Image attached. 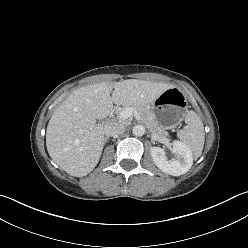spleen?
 <instances>
[{
	"instance_id": "obj_1",
	"label": "spleen",
	"mask_w": 248,
	"mask_h": 248,
	"mask_svg": "<svg viewBox=\"0 0 248 248\" xmlns=\"http://www.w3.org/2000/svg\"><path fill=\"white\" fill-rule=\"evenodd\" d=\"M184 128L178 131L177 136L193 152L195 158L202 154L204 147V126L199 116L193 111H189L185 117Z\"/></svg>"
}]
</instances>
